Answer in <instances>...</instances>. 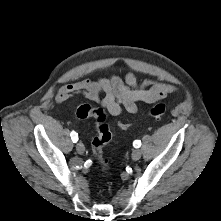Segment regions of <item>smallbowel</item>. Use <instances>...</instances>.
<instances>
[{"label":"small bowel","mask_w":221,"mask_h":221,"mask_svg":"<svg viewBox=\"0 0 221 221\" xmlns=\"http://www.w3.org/2000/svg\"><path fill=\"white\" fill-rule=\"evenodd\" d=\"M174 91V86L153 79L138 82L134 73L127 72L123 78L112 75L95 81L85 79L63 85L56 93V102L63 104L75 95H82L100 104L109 114L118 116L123 111L136 113L138 102L153 103Z\"/></svg>","instance_id":"1"}]
</instances>
